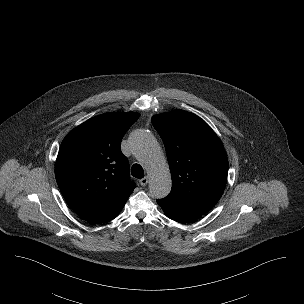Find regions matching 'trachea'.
<instances>
[{
    "label": "trachea",
    "instance_id": "1",
    "mask_svg": "<svg viewBox=\"0 0 304 304\" xmlns=\"http://www.w3.org/2000/svg\"><path fill=\"white\" fill-rule=\"evenodd\" d=\"M131 173L132 176H134L135 178H143L144 177V170L142 168L141 165L139 164H134L131 168Z\"/></svg>",
    "mask_w": 304,
    "mask_h": 304
}]
</instances>
